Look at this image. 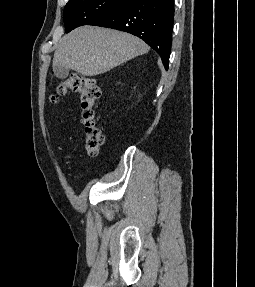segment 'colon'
I'll use <instances>...</instances> for the list:
<instances>
[{
  "label": "colon",
  "instance_id": "obj_1",
  "mask_svg": "<svg viewBox=\"0 0 255 287\" xmlns=\"http://www.w3.org/2000/svg\"><path fill=\"white\" fill-rule=\"evenodd\" d=\"M70 92L80 96L85 148L90 157H96L104 143V135L98 126L96 114L101 89L94 79L72 73L68 78L57 83L51 95V101L56 103Z\"/></svg>",
  "mask_w": 255,
  "mask_h": 287
}]
</instances>
